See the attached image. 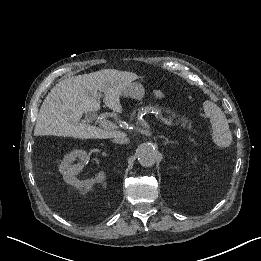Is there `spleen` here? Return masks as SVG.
I'll use <instances>...</instances> for the list:
<instances>
[{
	"label": "spleen",
	"instance_id": "spleen-1",
	"mask_svg": "<svg viewBox=\"0 0 261 261\" xmlns=\"http://www.w3.org/2000/svg\"><path fill=\"white\" fill-rule=\"evenodd\" d=\"M205 114L212 125V140L220 148H227L232 143V134L223 111L212 104L205 107Z\"/></svg>",
	"mask_w": 261,
	"mask_h": 261
}]
</instances>
